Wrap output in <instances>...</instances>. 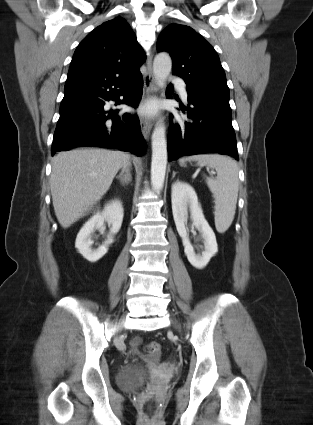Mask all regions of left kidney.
Listing matches in <instances>:
<instances>
[{"instance_id":"5707ae66","label":"left kidney","mask_w":313,"mask_h":425,"mask_svg":"<svg viewBox=\"0 0 313 425\" xmlns=\"http://www.w3.org/2000/svg\"><path fill=\"white\" fill-rule=\"evenodd\" d=\"M172 212L178 234L182 238L184 252L188 261L197 269H203L211 257L218 251L215 234L205 220L197 194L192 186L187 183L176 181L172 184L171 192ZM188 211L193 225L201 233L204 243L202 254H196L188 239L185 223L188 219Z\"/></svg>"}]
</instances>
